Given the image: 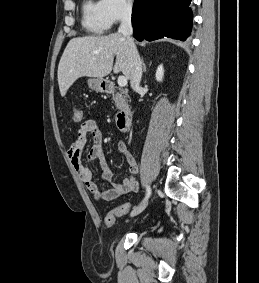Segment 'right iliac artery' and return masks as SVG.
<instances>
[{
  "mask_svg": "<svg viewBox=\"0 0 259 283\" xmlns=\"http://www.w3.org/2000/svg\"><path fill=\"white\" fill-rule=\"evenodd\" d=\"M150 195H151V188H150L149 185H146V196H145L143 202L146 201L150 197Z\"/></svg>",
  "mask_w": 259,
  "mask_h": 283,
  "instance_id": "1",
  "label": "right iliac artery"
}]
</instances>
